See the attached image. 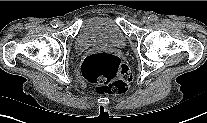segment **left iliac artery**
Returning <instances> with one entry per match:
<instances>
[{"instance_id": "obj_1", "label": "left iliac artery", "mask_w": 207, "mask_h": 123, "mask_svg": "<svg viewBox=\"0 0 207 123\" xmlns=\"http://www.w3.org/2000/svg\"><path fill=\"white\" fill-rule=\"evenodd\" d=\"M148 19L151 20V21H157L158 17L156 15L152 14L148 17Z\"/></svg>"}]
</instances>
